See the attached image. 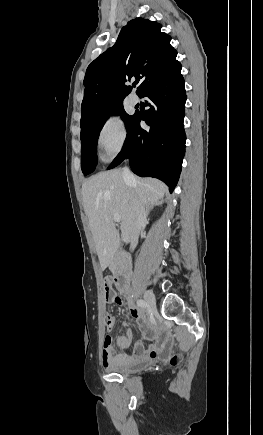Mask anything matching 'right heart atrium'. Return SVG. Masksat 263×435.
<instances>
[{"label":"right heart atrium","instance_id":"1","mask_svg":"<svg viewBox=\"0 0 263 435\" xmlns=\"http://www.w3.org/2000/svg\"><path fill=\"white\" fill-rule=\"evenodd\" d=\"M128 131L125 122L117 116H110L102 123L97 134V148L103 161H112L125 148Z\"/></svg>","mask_w":263,"mask_h":435}]
</instances>
